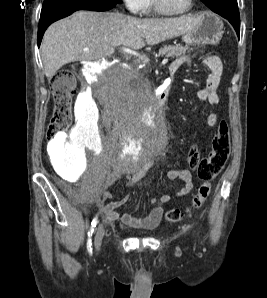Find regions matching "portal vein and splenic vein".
<instances>
[{"mask_svg": "<svg viewBox=\"0 0 267 298\" xmlns=\"http://www.w3.org/2000/svg\"><path fill=\"white\" fill-rule=\"evenodd\" d=\"M122 50H123L125 53L139 56V54H138L136 51L132 50V49L123 47ZM167 60H168V59L166 58V59L163 60V62H167Z\"/></svg>", "mask_w": 267, "mask_h": 298, "instance_id": "obj_1", "label": "portal vein and splenic vein"}]
</instances>
